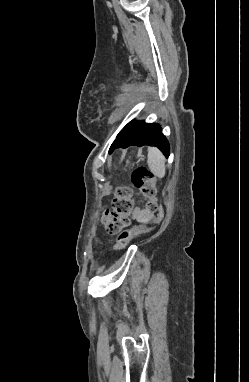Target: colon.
Segmentation results:
<instances>
[{"label":"colon","mask_w":249,"mask_h":382,"mask_svg":"<svg viewBox=\"0 0 249 382\" xmlns=\"http://www.w3.org/2000/svg\"><path fill=\"white\" fill-rule=\"evenodd\" d=\"M132 184L140 189L142 194L148 199L145 212L148 215L157 217L161 212V207L157 202V189L151 172L146 167L135 169L131 175ZM134 207L132 191L127 186H119L114 191L111 210H106L104 220L111 233L117 234L114 250H122L132 238V222L129 214ZM154 221L149 224H153Z\"/></svg>","instance_id":"obj_1"}]
</instances>
